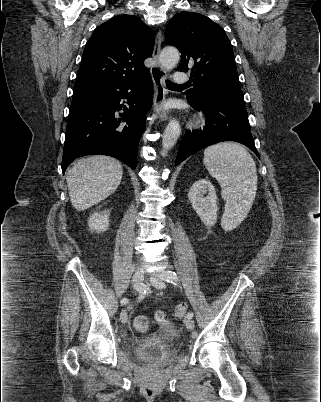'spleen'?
<instances>
[{
  "mask_svg": "<svg viewBox=\"0 0 321 402\" xmlns=\"http://www.w3.org/2000/svg\"><path fill=\"white\" fill-rule=\"evenodd\" d=\"M204 164L221 186V195L226 201L221 224L225 230H231L246 217L255 200V162L240 144L223 142L205 149Z\"/></svg>",
  "mask_w": 321,
  "mask_h": 402,
  "instance_id": "3e777b00",
  "label": "spleen"
}]
</instances>
